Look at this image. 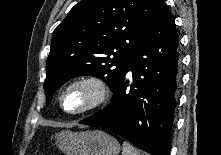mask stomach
<instances>
[{
  "label": "stomach",
  "instance_id": "obj_1",
  "mask_svg": "<svg viewBox=\"0 0 221 155\" xmlns=\"http://www.w3.org/2000/svg\"><path fill=\"white\" fill-rule=\"evenodd\" d=\"M56 143L66 155H119L121 149L114 137L101 130H63L57 135Z\"/></svg>",
  "mask_w": 221,
  "mask_h": 155
}]
</instances>
